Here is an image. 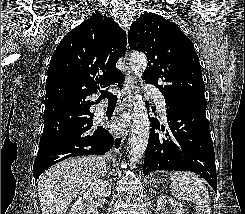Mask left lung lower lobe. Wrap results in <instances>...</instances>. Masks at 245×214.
I'll use <instances>...</instances> for the list:
<instances>
[{"instance_id": "obj_1", "label": "left lung lower lobe", "mask_w": 245, "mask_h": 214, "mask_svg": "<svg viewBox=\"0 0 245 214\" xmlns=\"http://www.w3.org/2000/svg\"><path fill=\"white\" fill-rule=\"evenodd\" d=\"M165 131L157 118H150L151 130L145 152L144 175L155 170L191 171L201 175L216 191L215 153L206 105L183 104L167 106Z\"/></svg>"}]
</instances>
